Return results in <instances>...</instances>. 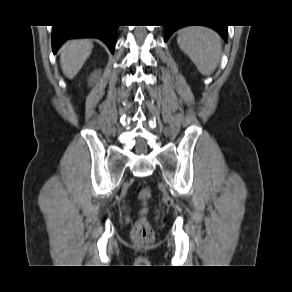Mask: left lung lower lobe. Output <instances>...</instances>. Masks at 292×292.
<instances>
[{
  "label": "left lung lower lobe",
  "instance_id": "obj_1",
  "mask_svg": "<svg viewBox=\"0 0 292 292\" xmlns=\"http://www.w3.org/2000/svg\"><path fill=\"white\" fill-rule=\"evenodd\" d=\"M165 27V41L168 40V38L172 35L174 31H176L178 28L183 27L181 25H170V26H164ZM214 28L225 41H227V26H209Z\"/></svg>",
  "mask_w": 292,
  "mask_h": 292
}]
</instances>
